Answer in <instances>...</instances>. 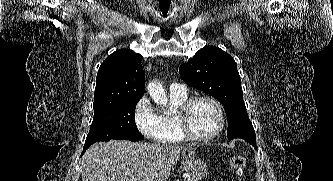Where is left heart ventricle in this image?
Segmentation results:
<instances>
[{
	"instance_id": "obj_1",
	"label": "left heart ventricle",
	"mask_w": 333,
	"mask_h": 181,
	"mask_svg": "<svg viewBox=\"0 0 333 181\" xmlns=\"http://www.w3.org/2000/svg\"><path fill=\"white\" fill-rule=\"evenodd\" d=\"M189 124L191 130L198 136L212 134L219 125L215 107L208 101L197 102L190 112Z\"/></svg>"
}]
</instances>
